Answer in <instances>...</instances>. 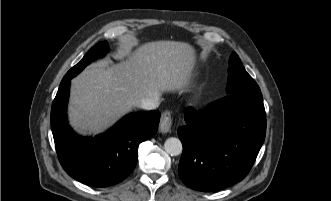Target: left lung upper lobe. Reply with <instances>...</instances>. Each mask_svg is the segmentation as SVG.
I'll list each match as a JSON object with an SVG mask.
<instances>
[{
  "label": "left lung upper lobe",
  "instance_id": "obj_1",
  "mask_svg": "<svg viewBox=\"0 0 331 201\" xmlns=\"http://www.w3.org/2000/svg\"><path fill=\"white\" fill-rule=\"evenodd\" d=\"M228 94L260 90L254 79L246 72L238 55L233 52L229 59Z\"/></svg>",
  "mask_w": 331,
  "mask_h": 201
}]
</instances>
